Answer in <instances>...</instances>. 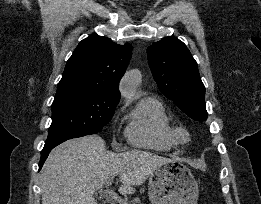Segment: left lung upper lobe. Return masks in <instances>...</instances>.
<instances>
[{
    "label": "left lung upper lobe",
    "mask_w": 261,
    "mask_h": 204,
    "mask_svg": "<svg viewBox=\"0 0 261 204\" xmlns=\"http://www.w3.org/2000/svg\"><path fill=\"white\" fill-rule=\"evenodd\" d=\"M148 62L160 91L195 121H205V87L186 45L165 38L147 48Z\"/></svg>",
    "instance_id": "obj_1"
}]
</instances>
